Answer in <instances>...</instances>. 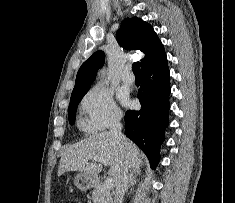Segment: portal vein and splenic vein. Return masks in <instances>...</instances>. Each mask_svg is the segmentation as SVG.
Here are the masks:
<instances>
[{"label": "portal vein and splenic vein", "mask_w": 235, "mask_h": 203, "mask_svg": "<svg viewBox=\"0 0 235 203\" xmlns=\"http://www.w3.org/2000/svg\"><path fill=\"white\" fill-rule=\"evenodd\" d=\"M94 161L96 162H100V163H103L105 166L108 164L106 160H104L103 158L101 157H95L93 159ZM114 186V180L113 178H107L104 182V188L106 190H110L112 187Z\"/></svg>", "instance_id": "portal-vein-and-splenic-vein-1"}]
</instances>
